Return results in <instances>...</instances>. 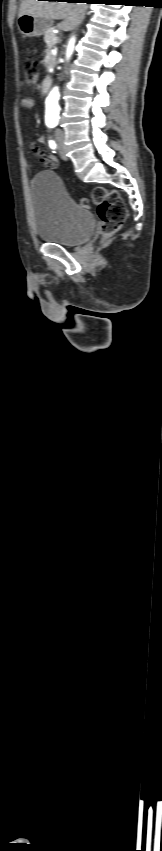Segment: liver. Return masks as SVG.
<instances>
[{
	"instance_id": "6515ba94",
	"label": "liver",
	"mask_w": 162,
	"mask_h": 851,
	"mask_svg": "<svg viewBox=\"0 0 162 851\" xmlns=\"http://www.w3.org/2000/svg\"><path fill=\"white\" fill-rule=\"evenodd\" d=\"M87 5L75 2L22 0L19 15L29 14L49 20H63L59 27L68 31L82 20Z\"/></svg>"
}]
</instances>
